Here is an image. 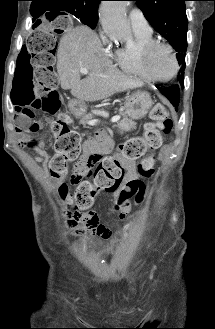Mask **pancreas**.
Instances as JSON below:
<instances>
[{"mask_svg": "<svg viewBox=\"0 0 215 329\" xmlns=\"http://www.w3.org/2000/svg\"><path fill=\"white\" fill-rule=\"evenodd\" d=\"M119 114L123 117L119 122H118V128L120 129V132H129L131 131L136 123L129 119L125 113L119 112ZM93 119V116L91 114H84L80 117V124L86 126L87 122L89 120Z\"/></svg>", "mask_w": 215, "mask_h": 329, "instance_id": "pancreas-1", "label": "pancreas"}]
</instances>
